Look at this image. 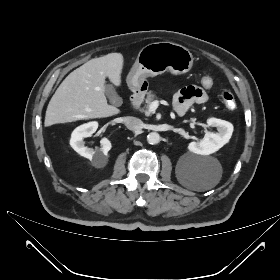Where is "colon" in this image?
Here are the masks:
<instances>
[{
    "label": "colon",
    "mask_w": 280,
    "mask_h": 280,
    "mask_svg": "<svg viewBox=\"0 0 280 280\" xmlns=\"http://www.w3.org/2000/svg\"><path fill=\"white\" fill-rule=\"evenodd\" d=\"M199 86L203 90H209L213 86V81L209 77H203L199 81ZM221 98H222V101H223L224 105L228 109H230V110L235 109L236 101H235V98H234V96L231 92L223 91L222 94H221Z\"/></svg>",
    "instance_id": "1"
}]
</instances>
